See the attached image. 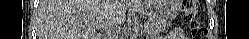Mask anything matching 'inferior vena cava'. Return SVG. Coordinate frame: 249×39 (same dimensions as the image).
Listing matches in <instances>:
<instances>
[{
	"label": "inferior vena cava",
	"mask_w": 249,
	"mask_h": 39,
	"mask_svg": "<svg viewBox=\"0 0 249 39\" xmlns=\"http://www.w3.org/2000/svg\"><path fill=\"white\" fill-rule=\"evenodd\" d=\"M118 27L119 26H113V27H109L106 30V38L105 39H118Z\"/></svg>",
	"instance_id": "602c4592"
}]
</instances>
